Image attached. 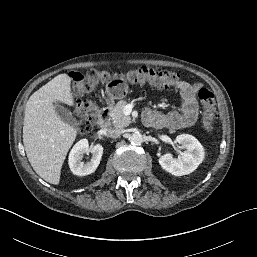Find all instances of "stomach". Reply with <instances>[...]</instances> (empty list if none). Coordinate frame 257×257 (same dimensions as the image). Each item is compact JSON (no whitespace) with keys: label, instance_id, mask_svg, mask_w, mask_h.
Returning a JSON list of instances; mask_svg holds the SVG:
<instances>
[{"label":"stomach","instance_id":"0dacf381","mask_svg":"<svg viewBox=\"0 0 257 257\" xmlns=\"http://www.w3.org/2000/svg\"><path fill=\"white\" fill-rule=\"evenodd\" d=\"M128 92L127 85L125 83H110L106 86V94L109 100L112 102L117 99H122Z\"/></svg>","mask_w":257,"mask_h":257}]
</instances>
